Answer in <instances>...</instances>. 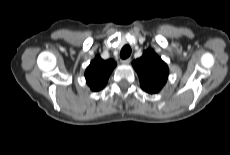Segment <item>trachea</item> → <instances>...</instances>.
<instances>
[{
  "instance_id": "1",
  "label": "trachea",
  "mask_w": 230,
  "mask_h": 155,
  "mask_svg": "<svg viewBox=\"0 0 230 155\" xmlns=\"http://www.w3.org/2000/svg\"><path fill=\"white\" fill-rule=\"evenodd\" d=\"M131 54V47L129 45H125L120 52V57L122 59H126L130 56Z\"/></svg>"
}]
</instances>
